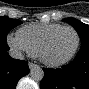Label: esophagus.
<instances>
[{
    "label": "esophagus",
    "mask_w": 89,
    "mask_h": 89,
    "mask_svg": "<svg viewBox=\"0 0 89 89\" xmlns=\"http://www.w3.org/2000/svg\"><path fill=\"white\" fill-rule=\"evenodd\" d=\"M29 68L32 70V69H34V68H38V65H36V64H34V63H32V62H30V63H29Z\"/></svg>",
    "instance_id": "obj_1"
}]
</instances>
